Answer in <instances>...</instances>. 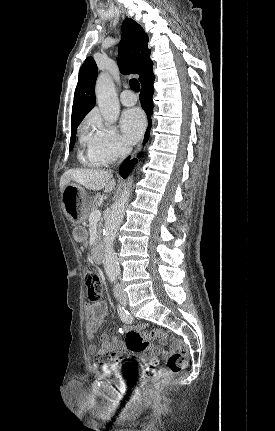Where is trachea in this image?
Wrapping results in <instances>:
<instances>
[{
    "label": "trachea",
    "instance_id": "1",
    "mask_svg": "<svg viewBox=\"0 0 275 431\" xmlns=\"http://www.w3.org/2000/svg\"><path fill=\"white\" fill-rule=\"evenodd\" d=\"M130 88L133 91L139 92V90H140V84H139V82L136 79H131L130 80Z\"/></svg>",
    "mask_w": 275,
    "mask_h": 431
}]
</instances>
